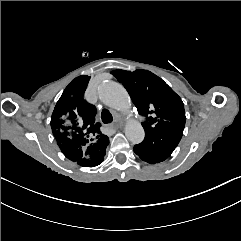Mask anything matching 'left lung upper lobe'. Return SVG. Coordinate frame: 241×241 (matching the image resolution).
I'll list each match as a JSON object with an SVG mask.
<instances>
[{
    "label": "left lung upper lobe",
    "mask_w": 241,
    "mask_h": 241,
    "mask_svg": "<svg viewBox=\"0 0 241 241\" xmlns=\"http://www.w3.org/2000/svg\"><path fill=\"white\" fill-rule=\"evenodd\" d=\"M128 91L139 114L145 136L162 130H181L185 126V111L181 98L158 76L148 70H114L111 72Z\"/></svg>",
    "instance_id": "obj_1"
}]
</instances>
